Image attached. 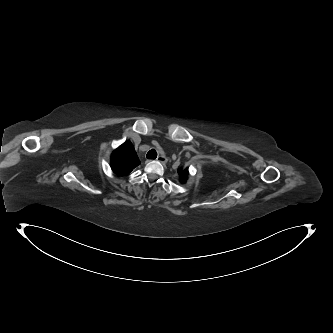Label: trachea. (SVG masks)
I'll return each instance as SVG.
<instances>
[{"label": "trachea", "mask_w": 333, "mask_h": 333, "mask_svg": "<svg viewBox=\"0 0 333 333\" xmlns=\"http://www.w3.org/2000/svg\"><path fill=\"white\" fill-rule=\"evenodd\" d=\"M147 159H156L157 157V152L154 149H151L147 155H146Z\"/></svg>", "instance_id": "3493384b"}]
</instances>
